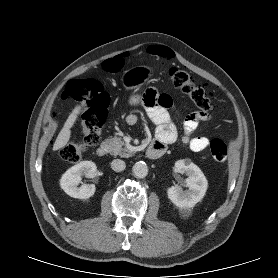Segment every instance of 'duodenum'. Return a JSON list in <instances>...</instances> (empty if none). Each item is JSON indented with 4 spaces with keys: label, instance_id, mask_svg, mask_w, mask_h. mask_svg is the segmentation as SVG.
<instances>
[{
    "label": "duodenum",
    "instance_id": "1",
    "mask_svg": "<svg viewBox=\"0 0 278 278\" xmlns=\"http://www.w3.org/2000/svg\"><path fill=\"white\" fill-rule=\"evenodd\" d=\"M108 146L105 144L100 145L97 150L96 154L99 157H105L108 154ZM165 153V146L161 143L153 142L151 143L148 148L146 149V155L149 159H159Z\"/></svg>",
    "mask_w": 278,
    "mask_h": 278
}]
</instances>
